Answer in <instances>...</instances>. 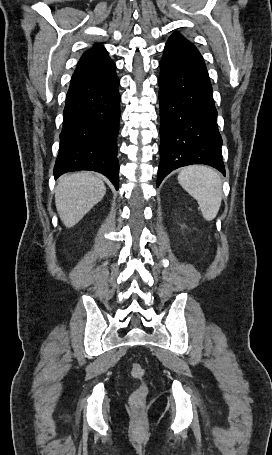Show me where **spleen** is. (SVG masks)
I'll return each mask as SVG.
<instances>
[{
	"mask_svg": "<svg viewBox=\"0 0 272 455\" xmlns=\"http://www.w3.org/2000/svg\"><path fill=\"white\" fill-rule=\"evenodd\" d=\"M179 184L198 202L203 217L213 220L221 206L222 180L211 167L193 165L185 167L178 175Z\"/></svg>",
	"mask_w": 272,
	"mask_h": 455,
	"instance_id": "1",
	"label": "spleen"
}]
</instances>
